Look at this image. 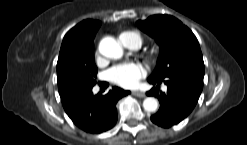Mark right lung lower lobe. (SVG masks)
<instances>
[{"mask_svg": "<svg viewBox=\"0 0 247 145\" xmlns=\"http://www.w3.org/2000/svg\"><path fill=\"white\" fill-rule=\"evenodd\" d=\"M92 87L77 88L61 96V101L75 125L89 133H101L115 125L116 103L130 91L113 87L106 95H93Z\"/></svg>", "mask_w": 247, "mask_h": 145, "instance_id": "98d812e1", "label": "right lung lower lobe"}]
</instances>
